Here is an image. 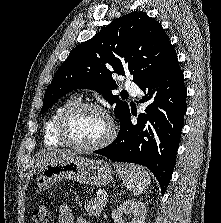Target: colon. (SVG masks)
<instances>
[{
    "label": "colon",
    "instance_id": "colon-1",
    "mask_svg": "<svg viewBox=\"0 0 221 223\" xmlns=\"http://www.w3.org/2000/svg\"><path fill=\"white\" fill-rule=\"evenodd\" d=\"M33 223H53L52 213L48 207L41 205L33 212Z\"/></svg>",
    "mask_w": 221,
    "mask_h": 223
}]
</instances>
